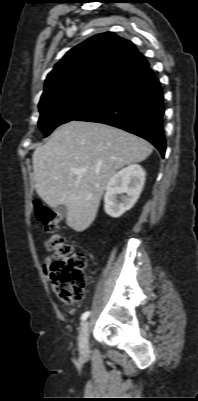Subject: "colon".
<instances>
[{
	"instance_id": "5ec220e1",
	"label": "colon",
	"mask_w": 198,
	"mask_h": 401,
	"mask_svg": "<svg viewBox=\"0 0 198 401\" xmlns=\"http://www.w3.org/2000/svg\"><path fill=\"white\" fill-rule=\"evenodd\" d=\"M35 217L50 234L45 246L54 257L50 271V282L54 292L67 304L80 303L86 292V257L74 251L59 234L61 216L58 213L36 202Z\"/></svg>"
}]
</instances>
